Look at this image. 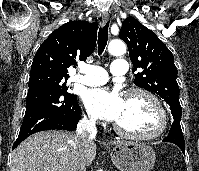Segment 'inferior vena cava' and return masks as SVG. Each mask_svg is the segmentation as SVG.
<instances>
[{"mask_svg": "<svg viewBox=\"0 0 199 171\" xmlns=\"http://www.w3.org/2000/svg\"><path fill=\"white\" fill-rule=\"evenodd\" d=\"M95 122L96 120L94 118L88 119L86 117L78 122L76 139L80 146H84L95 138L97 134ZM73 171H86V163L84 162L82 155L79 153L74 160Z\"/></svg>", "mask_w": 199, "mask_h": 171, "instance_id": "obj_1", "label": "inferior vena cava"}]
</instances>
